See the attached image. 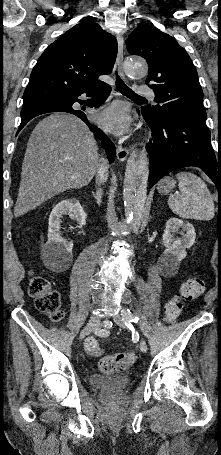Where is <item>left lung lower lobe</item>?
<instances>
[{
	"instance_id": "obj_1",
	"label": "left lung lower lobe",
	"mask_w": 221,
	"mask_h": 455,
	"mask_svg": "<svg viewBox=\"0 0 221 455\" xmlns=\"http://www.w3.org/2000/svg\"><path fill=\"white\" fill-rule=\"evenodd\" d=\"M153 132L147 151L150 157V188L169 172L196 166L221 190V157L216 158L205 122L184 117L155 118L142 111Z\"/></svg>"
}]
</instances>
